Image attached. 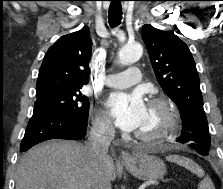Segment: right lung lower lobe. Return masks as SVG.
Returning <instances> with one entry per match:
<instances>
[{"label": "right lung lower lobe", "mask_w": 223, "mask_h": 189, "mask_svg": "<svg viewBox=\"0 0 223 189\" xmlns=\"http://www.w3.org/2000/svg\"><path fill=\"white\" fill-rule=\"evenodd\" d=\"M87 119L79 120L73 116L52 109L34 108L28 122L20 151L50 139L80 140L86 135Z\"/></svg>", "instance_id": "right-lung-lower-lobe-1"}]
</instances>
